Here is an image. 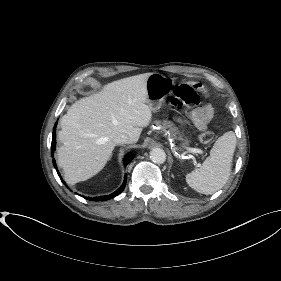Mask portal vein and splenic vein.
Here are the masks:
<instances>
[{
	"instance_id": "obj_1",
	"label": "portal vein and splenic vein",
	"mask_w": 281,
	"mask_h": 281,
	"mask_svg": "<svg viewBox=\"0 0 281 281\" xmlns=\"http://www.w3.org/2000/svg\"><path fill=\"white\" fill-rule=\"evenodd\" d=\"M189 151H190V152H193V153H199V154H202V150H201V149L189 148Z\"/></svg>"
}]
</instances>
